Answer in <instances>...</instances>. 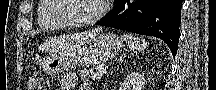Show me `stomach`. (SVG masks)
<instances>
[{
	"label": "stomach",
	"mask_w": 216,
	"mask_h": 90,
	"mask_svg": "<svg viewBox=\"0 0 216 90\" xmlns=\"http://www.w3.org/2000/svg\"><path fill=\"white\" fill-rule=\"evenodd\" d=\"M122 46V39L116 34L102 33L94 35L89 37L79 50L70 55L47 57L41 63V69L47 75H56L73 65H98L115 57Z\"/></svg>",
	"instance_id": "stomach-1"
}]
</instances>
